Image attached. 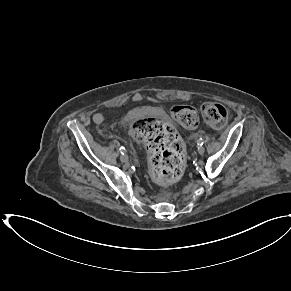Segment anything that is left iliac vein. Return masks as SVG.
<instances>
[{"instance_id":"left-iliac-vein-1","label":"left iliac vein","mask_w":291,"mask_h":291,"mask_svg":"<svg viewBox=\"0 0 291 291\" xmlns=\"http://www.w3.org/2000/svg\"><path fill=\"white\" fill-rule=\"evenodd\" d=\"M197 151H198V153H199L200 155H202V154H204V152H205V148H204L203 146H199L198 149H197Z\"/></svg>"}]
</instances>
